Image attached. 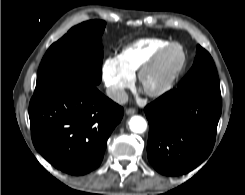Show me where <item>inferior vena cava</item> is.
Returning a JSON list of instances; mask_svg holds the SVG:
<instances>
[{
	"instance_id": "602c4592",
	"label": "inferior vena cava",
	"mask_w": 245,
	"mask_h": 195,
	"mask_svg": "<svg viewBox=\"0 0 245 195\" xmlns=\"http://www.w3.org/2000/svg\"><path fill=\"white\" fill-rule=\"evenodd\" d=\"M107 96L118 104H125L128 101L127 93L122 89H106Z\"/></svg>"
}]
</instances>
